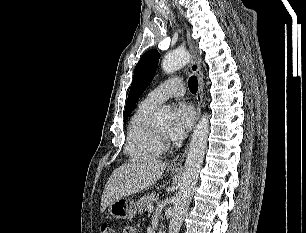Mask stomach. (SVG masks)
I'll list each match as a JSON object with an SVG mask.
<instances>
[{
	"label": "stomach",
	"instance_id": "stomach-1",
	"mask_svg": "<svg viewBox=\"0 0 306 233\" xmlns=\"http://www.w3.org/2000/svg\"><path fill=\"white\" fill-rule=\"evenodd\" d=\"M171 172H177L176 170H171ZM108 212L111 216L118 219H131L135 217L137 213V207L131 198L122 197L108 206Z\"/></svg>",
	"mask_w": 306,
	"mask_h": 233
}]
</instances>
